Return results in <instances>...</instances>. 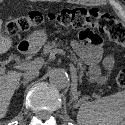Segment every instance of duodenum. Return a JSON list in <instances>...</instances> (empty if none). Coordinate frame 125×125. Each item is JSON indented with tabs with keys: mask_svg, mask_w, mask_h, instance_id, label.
<instances>
[{
	"mask_svg": "<svg viewBox=\"0 0 125 125\" xmlns=\"http://www.w3.org/2000/svg\"><path fill=\"white\" fill-rule=\"evenodd\" d=\"M18 50L23 54L27 53L28 51V44L27 42H21L18 44Z\"/></svg>",
	"mask_w": 125,
	"mask_h": 125,
	"instance_id": "1",
	"label": "duodenum"
}]
</instances>
